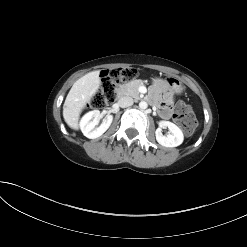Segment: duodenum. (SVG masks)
Instances as JSON below:
<instances>
[{"label": "duodenum", "mask_w": 247, "mask_h": 247, "mask_svg": "<svg viewBox=\"0 0 247 247\" xmlns=\"http://www.w3.org/2000/svg\"><path fill=\"white\" fill-rule=\"evenodd\" d=\"M117 91H120L119 93V98L123 96V93L121 92L122 91V86H117Z\"/></svg>", "instance_id": "410a0bca"}]
</instances>
